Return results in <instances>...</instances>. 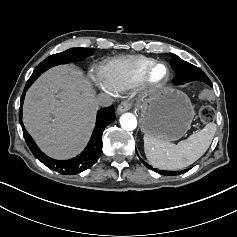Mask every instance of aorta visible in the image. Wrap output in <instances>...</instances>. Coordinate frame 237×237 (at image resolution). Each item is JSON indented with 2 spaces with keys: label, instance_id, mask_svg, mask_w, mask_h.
I'll return each instance as SVG.
<instances>
[{
  "label": "aorta",
  "instance_id": "obj_1",
  "mask_svg": "<svg viewBox=\"0 0 237 237\" xmlns=\"http://www.w3.org/2000/svg\"><path fill=\"white\" fill-rule=\"evenodd\" d=\"M121 127L126 131H132L137 126V119L132 113H124L120 117Z\"/></svg>",
  "mask_w": 237,
  "mask_h": 237
}]
</instances>
